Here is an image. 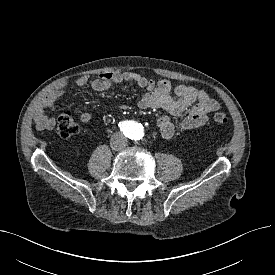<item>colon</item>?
Returning <instances> with one entry per match:
<instances>
[{
	"mask_svg": "<svg viewBox=\"0 0 275 275\" xmlns=\"http://www.w3.org/2000/svg\"><path fill=\"white\" fill-rule=\"evenodd\" d=\"M212 122L216 125H223L227 123L228 117L226 113L217 111L212 115ZM79 130V126L74 117L66 112L59 116L57 123V133L62 138H69L75 135Z\"/></svg>",
	"mask_w": 275,
	"mask_h": 275,
	"instance_id": "colon-1",
	"label": "colon"
}]
</instances>
